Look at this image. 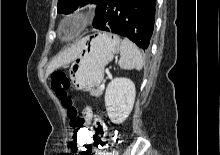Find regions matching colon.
Instances as JSON below:
<instances>
[{"instance_id":"5ec220e1","label":"colon","mask_w":220,"mask_h":155,"mask_svg":"<svg viewBox=\"0 0 220 155\" xmlns=\"http://www.w3.org/2000/svg\"><path fill=\"white\" fill-rule=\"evenodd\" d=\"M51 88L66 109L69 127L73 130L72 140L75 148V155H84L86 147L93 144L94 149H89V155H116L115 149L120 143V133H111L107 136L106 125L99 124L96 127L95 137L90 123L81 115L74 99L69 94L70 81L64 71L57 70L50 77Z\"/></svg>"}]
</instances>
